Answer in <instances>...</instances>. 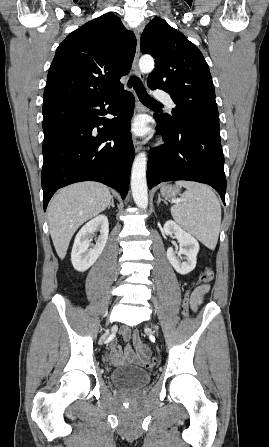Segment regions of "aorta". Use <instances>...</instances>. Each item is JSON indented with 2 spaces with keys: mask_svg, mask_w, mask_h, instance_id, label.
I'll use <instances>...</instances> for the list:
<instances>
[{
  "mask_svg": "<svg viewBox=\"0 0 269 447\" xmlns=\"http://www.w3.org/2000/svg\"><path fill=\"white\" fill-rule=\"evenodd\" d=\"M138 66L142 74H149V72H152V70H154V60L152 56H141ZM146 160L145 152L138 154L133 162L131 174L133 200L136 206H138V208H143V210L148 206Z\"/></svg>",
  "mask_w": 269,
  "mask_h": 447,
  "instance_id": "aorta-1",
  "label": "aorta"
}]
</instances>
